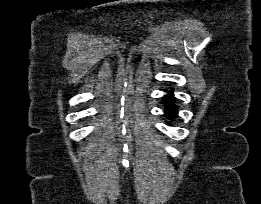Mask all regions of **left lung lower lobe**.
<instances>
[{"label":"left lung lower lobe","mask_w":261,"mask_h":204,"mask_svg":"<svg viewBox=\"0 0 261 204\" xmlns=\"http://www.w3.org/2000/svg\"><path fill=\"white\" fill-rule=\"evenodd\" d=\"M165 102V115L168 118H174L177 116V107L174 104V95L172 91H169L168 94L163 98Z\"/></svg>","instance_id":"0a47b994"}]
</instances>
